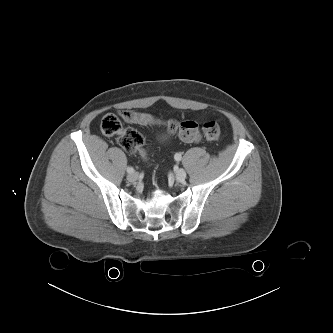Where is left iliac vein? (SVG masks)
Returning a JSON list of instances; mask_svg holds the SVG:
<instances>
[{
	"label": "left iliac vein",
	"instance_id": "obj_1",
	"mask_svg": "<svg viewBox=\"0 0 333 333\" xmlns=\"http://www.w3.org/2000/svg\"><path fill=\"white\" fill-rule=\"evenodd\" d=\"M175 178L178 182H182L185 180L186 178V171L182 168L178 169L176 172H175Z\"/></svg>",
	"mask_w": 333,
	"mask_h": 333
}]
</instances>
